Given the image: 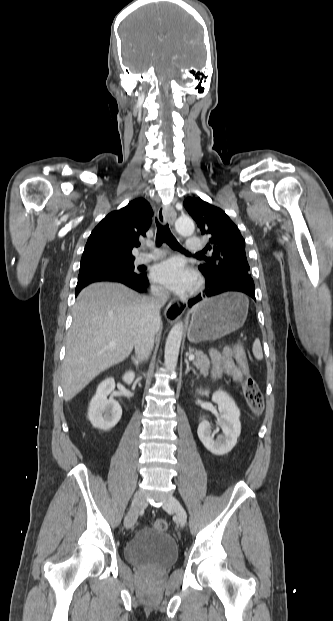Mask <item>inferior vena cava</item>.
Here are the masks:
<instances>
[{
    "label": "inferior vena cava",
    "mask_w": 333,
    "mask_h": 621,
    "mask_svg": "<svg viewBox=\"0 0 333 621\" xmlns=\"http://www.w3.org/2000/svg\"><path fill=\"white\" fill-rule=\"evenodd\" d=\"M169 298L162 288L152 290L151 297L144 298L146 316L135 338V352L139 361L147 360L154 346V337L161 324L160 309Z\"/></svg>",
    "instance_id": "1"
}]
</instances>
